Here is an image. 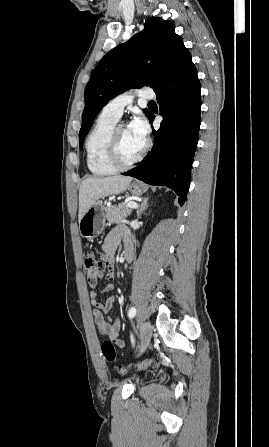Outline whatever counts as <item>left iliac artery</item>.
Listing matches in <instances>:
<instances>
[{"mask_svg":"<svg viewBox=\"0 0 269 447\" xmlns=\"http://www.w3.org/2000/svg\"><path fill=\"white\" fill-rule=\"evenodd\" d=\"M135 315H136V308L132 307V308L129 310V317H130V318H133ZM131 341H132V343H134V338H133V336H131Z\"/></svg>","mask_w":269,"mask_h":447,"instance_id":"left-iliac-artery-1","label":"left iliac artery"}]
</instances>
